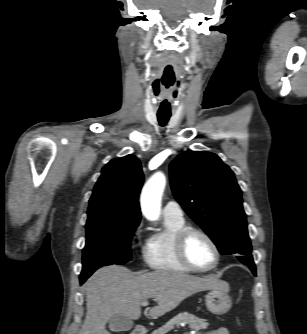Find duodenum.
Segmentation results:
<instances>
[{
	"instance_id": "410a0bca",
	"label": "duodenum",
	"mask_w": 307,
	"mask_h": 334,
	"mask_svg": "<svg viewBox=\"0 0 307 334\" xmlns=\"http://www.w3.org/2000/svg\"><path fill=\"white\" fill-rule=\"evenodd\" d=\"M132 334H148V331L145 327H137L134 329Z\"/></svg>"
}]
</instances>
